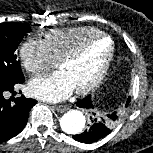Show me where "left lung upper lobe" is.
Instances as JSON below:
<instances>
[{"label": "left lung upper lobe", "mask_w": 153, "mask_h": 153, "mask_svg": "<svg viewBox=\"0 0 153 153\" xmlns=\"http://www.w3.org/2000/svg\"><path fill=\"white\" fill-rule=\"evenodd\" d=\"M116 113H117V115L119 117L120 112H116ZM107 116H108V119H106L107 120V123L109 124L110 127H113L115 125V123H116V121H117L118 118L116 120H113L112 118L109 117V115H107Z\"/></svg>", "instance_id": "1"}]
</instances>
